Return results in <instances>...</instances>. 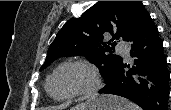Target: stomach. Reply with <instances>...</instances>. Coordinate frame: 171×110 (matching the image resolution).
<instances>
[{
    "label": "stomach",
    "instance_id": "0dacf381",
    "mask_svg": "<svg viewBox=\"0 0 171 110\" xmlns=\"http://www.w3.org/2000/svg\"><path fill=\"white\" fill-rule=\"evenodd\" d=\"M125 100L115 96H99L70 110H125Z\"/></svg>",
    "mask_w": 171,
    "mask_h": 110
}]
</instances>
